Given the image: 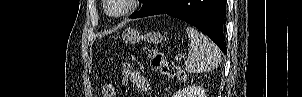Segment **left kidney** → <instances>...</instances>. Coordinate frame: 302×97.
Masks as SVG:
<instances>
[{"instance_id":"obj_1","label":"left kidney","mask_w":302,"mask_h":97,"mask_svg":"<svg viewBox=\"0 0 302 97\" xmlns=\"http://www.w3.org/2000/svg\"><path fill=\"white\" fill-rule=\"evenodd\" d=\"M173 97H206L203 87L189 86L178 90Z\"/></svg>"}]
</instances>
